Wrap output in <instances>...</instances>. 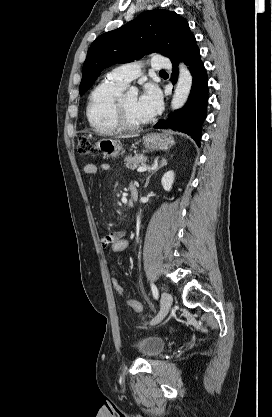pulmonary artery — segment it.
Returning a JSON list of instances; mask_svg holds the SVG:
<instances>
[{"mask_svg": "<svg viewBox=\"0 0 272 417\" xmlns=\"http://www.w3.org/2000/svg\"><path fill=\"white\" fill-rule=\"evenodd\" d=\"M151 67L154 70H165L171 67L170 61L160 55H155L151 58ZM141 74V66L139 63H128L114 68L108 77L116 82L127 86L132 80L139 77Z\"/></svg>", "mask_w": 272, "mask_h": 417, "instance_id": "obj_1", "label": "pulmonary artery"}]
</instances>
